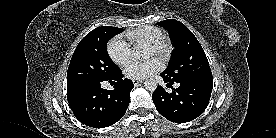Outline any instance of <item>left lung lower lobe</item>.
Returning <instances> with one entry per match:
<instances>
[{
	"mask_svg": "<svg viewBox=\"0 0 276 138\" xmlns=\"http://www.w3.org/2000/svg\"><path fill=\"white\" fill-rule=\"evenodd\" d=\"M167 87L172 88L168 93L159 86L152 94L157 111L169 121L186 123L197 118L208 106L213 89V79L178 81V88H173L172 81L163 72L160 74Z\"/></svg>",
	"mask_w": 276,
	"mask_h": 138,
	"instance_id": "1",
	"label": "left lung lower lobe"
}]
</instances>
